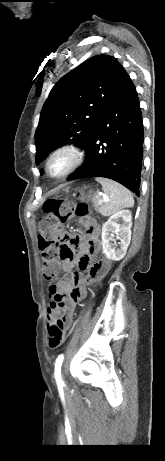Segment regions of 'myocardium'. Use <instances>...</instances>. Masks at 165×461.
<instances>
[{
    "instance_id": "f54148a6",
    "label": "myocardium",
    "mask_w": 165,
    "mask_h": 461,
    "mask_svg": "<svg viewBox=\"0 0 165 461\" xmlns=\"http://www.w3.org/2000/svg\"><path fill=\"white\" fill-rule=\"evenodd\" d=\"M83 160L84 152L79 146L71 143L59 145L46 157L44 165L45 173L54 181L63 180L79 168ZM55 161H61L62 165L60 171L53 174L51 166Z\"/></svg>"
}]
</instances>
